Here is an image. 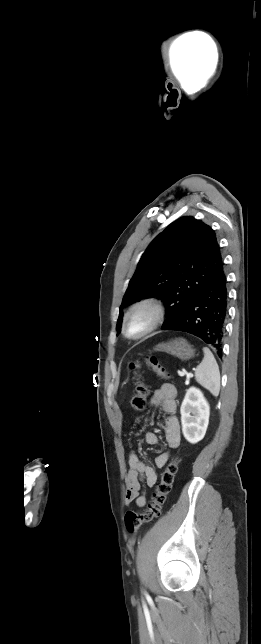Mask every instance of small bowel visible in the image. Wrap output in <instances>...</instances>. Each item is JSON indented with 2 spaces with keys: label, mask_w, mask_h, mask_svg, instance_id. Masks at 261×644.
Segmentation results:
<instances>
[{
  "label": "small bowel",
  "mask_w": 261,
  "mask_h": 644,
  "mask_svg": "<svg viewBox=\"0 0 261 644\" xmlns=\"http://www.w3.org/2000/svg\"><path fill=\"white\" fill-rule=\"evenodd\" d=\"M176 397L177 390L175 386L165 383L156 389L150 398V406H160L163 412L168 415L165 422V439L169 449L178 448L181 441L180 423L175 415L177 410ZM145 441L149 445H157L159 438L155 432H147ZM169 456L168 451L158 454L155 458V466L157 468L164 467ZM157 480L158 474L155 467L146 464L136 454L131 453L128 457L126 476V505L135 503L140 508L144 507L147 503V497L141 489V483L145 482L147 486L152 487L157 483Z\"/></svg>",
  "instance_id": "c3829d8e"
}]
</instances>
